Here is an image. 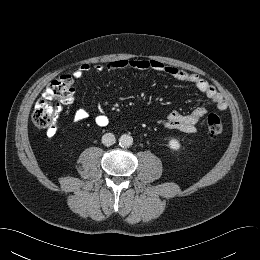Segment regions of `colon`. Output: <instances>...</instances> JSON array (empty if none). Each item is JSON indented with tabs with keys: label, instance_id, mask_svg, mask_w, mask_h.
Instances as JSON below:
<instances>
[{
	"label": "colon",
	"instance_id": "1",
	"mask_svg": "<svg viewBox=\"0 0 260 260\" xmlns=\"http://www.w3.org/2000/svg\"><path fill=\"white\" fill-rule=\"evenodd\" d=\"M74 100V81L70 75H62L48 84L42 98L37 102L32 114L34 125L54 133L59 117V107ZM206 128L211 136H219L223 132V123L216 114L206 118Z\"/></svg>",
	"mask_w": 260,
	"mask_h": 260
}]
</instances>
